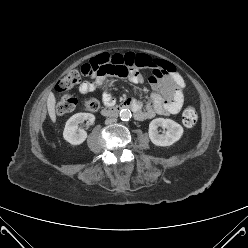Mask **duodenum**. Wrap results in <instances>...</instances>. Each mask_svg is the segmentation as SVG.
Wrapping results in <instances>:
<instances>
[{"label":"duodenum","instance_id":"duodenum-1","mask_svg":"<svg viewBox=\"0 0 248 248\" xmlns=\"http://www.w3.org/2000/svg\"><path fill=\"white\" fill-rule=\"evenodd\" d=\"M130 109L136 115L139 112L138 105L131 99L123 102L118 106H107L101 110V115L106 117L117 116L122 110Z\"/></svg>","mask_w":248,"mask_h":248}]
</instances>
